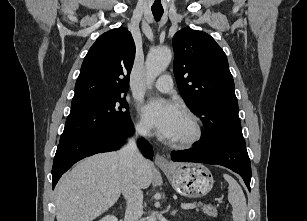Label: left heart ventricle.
<instances>
[{"label":"left heart ventricle","instance_id":"1","mask_svg":"<svg viewBox=\"0 0 307 221\" xmlns=\"http://www.w3.org/2000/svg\"><path fill=\"white\" fill-rule=\"evenodd\" d=\"M192 132V125L188 118H186L184 115L181 119V122L179 124V127L177 129V132L172 140H179L184 137H187Z\"/></svg>","mask_w":307,"mask_h":221}]
</instances>
